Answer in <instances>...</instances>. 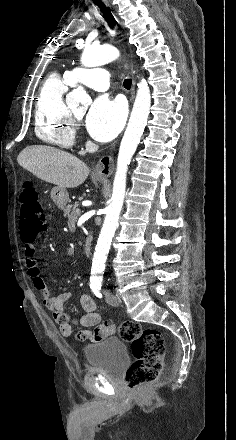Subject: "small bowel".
I'll return each mask as SVG.
<instances>
[{
  "label": "small bowel",
  "mask_w": 236,
  "mask_h": 440,
  "mask_svg": "<svg viewBox=\"0 0 236 440\" xmlns=\"http://www.w3.org/2000/svg\"><path fill=\"white\" fill-rule=\"evenodd\" d=\"M23 250L28 274L35 288L42 294L44 306L52 312L60 333L65 337L76 336L78 341L97 339L98 342H105L108 335L105 330L112 329L113 323L103 321L102 324H99L101 316L94 300L89 295L83 294L80 297V303L85 314L79 318H73L65 311V305L70 300L71 293L62 292L57 296H52L38 267L33 243L23 240ZM75 324H79L83 329L82 327H73Z\"/></svg>",
  "instance_id": "small-bowel-1"
}]
</instances>
